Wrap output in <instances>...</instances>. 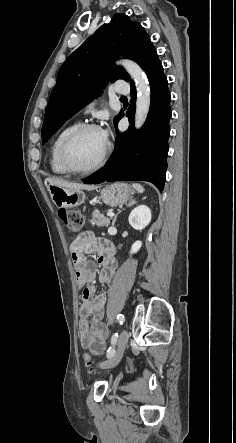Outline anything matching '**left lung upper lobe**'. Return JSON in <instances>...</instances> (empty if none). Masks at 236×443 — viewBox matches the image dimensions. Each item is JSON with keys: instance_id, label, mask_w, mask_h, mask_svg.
<instances>
[{"instance_id": "obj_1", "label": "left lung upper lobe", "mask_w": 236, "mask_h": 443, "mask_svg": "<svg viewBox=\"0 0 236 443\" xmlns=\"http://www.w3.org/2000/svg\"><path fill=\"white\" fill-rule=\"evenodd\" d=\"M153 48L144 28L130 21L127 15L116 14L110 23L102 25L61 66L45 112L43 140L99 94L109 81L131 80L122 67L109 64L123 57L143 67Z\"/></svg>"}]
</instances>
